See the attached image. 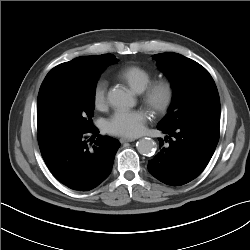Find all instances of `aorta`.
Here are the masks:
<instances>
[{
	"instance_id": "aorta-1",
	"label": "aorta",
	"mask_w": 250,
	"mask_h": 250,
	"mask_svg": "<svg viewBox=\"0 0 250 250\" xmlns=\"http://www.w3.org/2000/svg\"><path fill=\"white\" fill-rule=\"evenodd\" d=\"M109 103L116 108H127L134 103L131 94L121 88L110 89L107 95ZM137 150L145 156H152L156 150V143L151 138H142L137 142Z\"/></svg>"
}]
</instances>
